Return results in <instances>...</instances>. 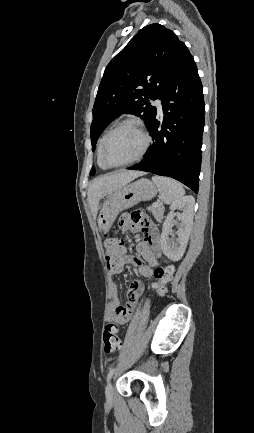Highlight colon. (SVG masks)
Segmentation results:
<instances>
[{
  "instance_id": "colon-1",
  "label": "colon",
  "mask_w": 254,
  "mask_h": 433,
  "mask_svg": "<svg viewBox=\"0 0 254 433\" xmlns=\"http://www.w3.org/2000/svg\"><path fill=\"white\" fill-rule=\"evenodd\" d=\"M145 219L143 215L134 211L129 215V221L133 224L141 223ZM124 248L121 241L118 238L112 236H106L104 240V255L109 270H116L122 260ZM174 273L172 266L160 267L157 269L155 277L158 283L163 286L165 283L171 280ZM159 293H163L162 289ZM122 345L121 334L119 327L110 322L106 324L103 333V350L106 355H112L120 350Z\"/></svg>"
}]
</instances>
